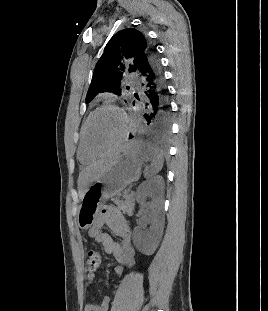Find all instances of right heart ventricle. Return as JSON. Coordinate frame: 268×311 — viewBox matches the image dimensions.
<instances>
[{
    "label": "right heart ventricle",
    "instance_id": "right-heart-ventricle-1",
    "mask_svg": "<svg viewBox=\"0 0 268 311\" xmlns=\"http://www.w3.org/2000/svg\"><path fill=\"white\" fill-rule=\"evenodd\" d=\"M78 157L80 161L84 164H90L95 160V157L91 156L84 148V145L82 142V130H81V138H80L79 148H78Z\"/></svg>",
    "mask_w": 268,
    "mask_h": 311
}]
</instances>
